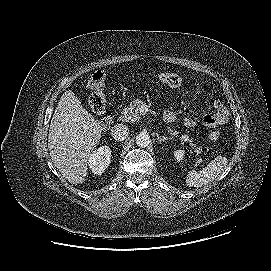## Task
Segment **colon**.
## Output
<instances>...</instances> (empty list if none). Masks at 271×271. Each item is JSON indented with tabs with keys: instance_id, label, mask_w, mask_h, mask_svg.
Here are the masks:
<instances>
[{
	"instance_id": "1",
	"label": "colon",
	"mask_w": 271,
	"mask_h": 271,
	"mask_svg": "<svg viewBox=\"0 0 271 271\" xmlns=\"http://www.w3.org/2000/svg\"><path fill=\"white\" fill-rule=\"evenodd\" d=\"M159 80L163 84L174 88L181 86L183 82L179 75L173 73H161ZM86 87L92 93L89 100L91 110L96 114L103 113L106 105L105 73L100 70L90 75ZM212 137L216 138L217 133H213Z\"/></svg>"
}]
</instances>
